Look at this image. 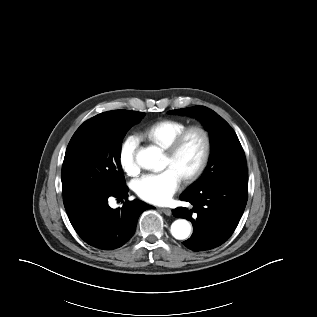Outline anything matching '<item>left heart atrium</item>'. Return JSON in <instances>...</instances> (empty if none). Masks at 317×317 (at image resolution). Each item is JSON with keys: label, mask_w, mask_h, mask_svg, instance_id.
Returning a JSON list of instances; mask_svg holds the SVG:
<instances>
[{"label": "left heart atrium", "mask_w": 317, "mask_h": 317, "mask_svg": "<svg viewBox=\"0 0 317 317\" xmlns=\"http://www.w3.org/2000/svg\"><path fill=\"white\" fill-rule=\"evenodd\" d=\"M181 180L173 168H167L160 173L143 175L134 182V190L141 199L161 205L171 200L180 188Z\"/></svg>", "instance_id": "1"}]
</instances>
